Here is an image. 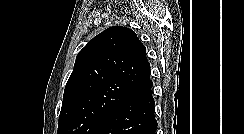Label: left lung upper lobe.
<instances>
[{
    "instance_id": "left-lung-upper-lobe-1",
    "label": "left lung upper lobe",
    "mask_w": 244,
    "mask_h": 134,
    "mask_svg": "<svg viewBox=\"0 0 244 134\" xmlns=\"http://www.w3.org/2000/svg\"><path fill=\"white\" fill-rule=\"evenodd\" d=\"M152 86L146 48L137 35L121 26L104 30L76 57L57 134H97L115 109Z\"/></svg>"
}]
</instances>
